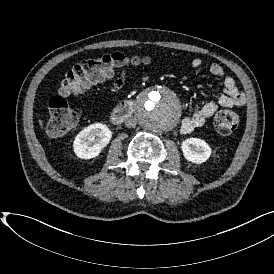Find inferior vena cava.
Returning a JSON list of instances; mask_svg holds the SVG:
<instances>
[{"label": "inferior vena cava", "mask_w": 274, "mask_h": 274, "mask_svg": "<svg viewBox=\"0 0 274 274\" xmlns=\"http://www.w3.org/2000/svg\"><path fill=\"white\" fill-rule=\"evenodd\" d=\"M137 124V119L136 118H128L125 120V125L128 128H134Z\"/></svg>", "instance_id": "inferior-vena-cava-1"}]
</instances>
